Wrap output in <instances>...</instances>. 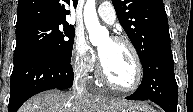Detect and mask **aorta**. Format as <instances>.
Masks as SVG:
<instances>
[{
  "label": "aorta",
  "instance_id": "762f6f07",
  "mask_svg": "<svg viewBox=\"0 0 193 112\" xmlns=\"http://www.w3.org/2000/svg\"><path fill=\"white\" fill-rule=\"evenodd\" d=\"M84 22L93 45H98L103 38L108 36V31L99 23L96 13L95 0H87L84 7Z\"/></svg>",
  "mask_w": 193,
  "mask_h": 112
}]
</instances>
